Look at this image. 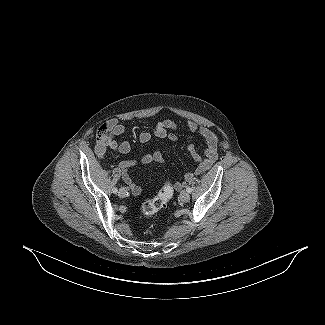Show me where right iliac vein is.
<instances>
[{
	"label": "right iliac vein",
	"instance_id": "right-iliac-vein-1",
	"mask_svg": "<svg viewBox=\"0 0 325 325\" xmlns=\"http://www.w3.org/2000/svg\"><path fill=\"white\" fill-rule=\"evenodd\" d=\"M118 195L120 198H125L127 195V189L124 187L120 188Z\"/></svg>",
	"mask_w": 325,
	"mask_h": 325
}]
</instances>
